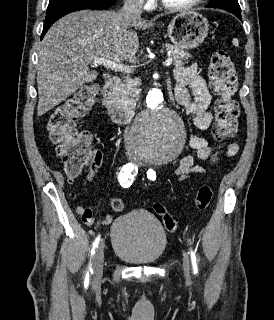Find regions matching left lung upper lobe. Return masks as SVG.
Returning <instances> with one entry per match:
<instances>
[{
	"label": "left lung upper lobe",
	"instance_id": "5c2ea615",
	"mask_svg": "<svg viewBox=\"0 0 274 320\" xmlns=\"http://www.w3.org/2000/svg\"><path fill=\"white\" fill-rule=\"evenodd\" d=\"M207 7L225 9L231 13H241L237 0H211Z\"/></svg>",
	"mask_w": 274,
	"mask_h": 320
}]
</instances>
